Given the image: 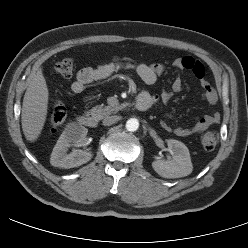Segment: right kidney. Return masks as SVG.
<instances>
[{
	"label": "right kidney",
	"mask_w": 248,
	"mask_h": 248,
	"mask_svg": "<svg viewBox=\"0 0 248 248\" xmlns=\"http://www.w3.org/2000/svg\"><path fill=\"white\" fill-rule=\"evenodd\" d=\"M88 130L83 126L72 125L67 127L60 135L55 147L53 148L50 163L59 168H74L81 166L92 158V153L83 150H74L67 154L68 147L71 145H83L86 142Z\"/></svg>",
	"instance_id": "1"
}]
</instances>
